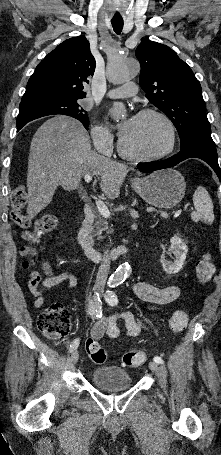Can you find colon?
<instances>
[{
    "instance_id": "colon-1",
    "label": "colon",
    "mask_w": 221,
    "mask_h": 455,
    "mask_svg": "<svg viewBox=\"0 0 221 455\" xmlns=\"http://www.w3.org/2000/svg\"><path fill=\"white\" fill-rule=\"evenodd\" d=\"M26 201V189L23 185H18L10 195V216L24 231L23 237L26 244L22 248V254L25 257L24 266L30 268L35 263L36 245L44 235L56 228L58 218L54 214H44L37 218L32 225L29 217L23 213ZM213 273L214 265L212 260L208 256H203L196 266L197 280L202 284L208 283ZM168 324L171 331H182L187 324L186 312L183 310L174 312ZM37 325L41 333L47 338L55 341H64L68 338L71 330L69 312L62 303H53L40 314ZM86 351L95 364L101 365L106 362V352L95 338L87 339ZM122 360L127 367H138L146 361V355L141 351H130L123 355Z\"/></svg>"
}]
</instances>
